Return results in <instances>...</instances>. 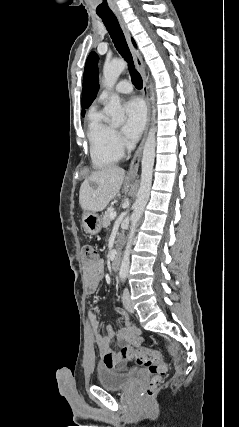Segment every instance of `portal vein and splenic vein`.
I'll list each match as a JSON object with an SVG mask.
<instances>
[{
  "instance_id": "1",
  "label": "portal vein and splenic vein",
  "mask_w": 239,
  "mask_h": 427,
  "mask_svg": "<svg viewBox=\"0 0 239 427\" xmlns=\"http://www.w3.org/2000/svg\"><path fill=\"white\" fill-rule=\"evenodd\" d=\"M116 216H117V214H116L115 211H113V212L110 213V219H115Z\"/></svg>"
}]
</instances>
